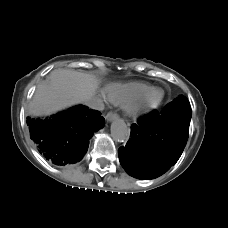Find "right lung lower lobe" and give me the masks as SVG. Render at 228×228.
I'll return each instance as SVG.
<instances>
[{"mask_svg": "<svg viewBox=\"0 0 228 228\" xmlns=\"http://www.w3.org/2000/svg\"><path fill=\"white\" fill-rule=\"evenodd\" d=\"M104 123L99 111L84 105L46 119H27L30 138L39 152L56 165L80 161L87 152L89 139Z\"/></svg>", "mask_w": 228, "mask_h": 228, "instance_id": "1", "label": "right lung lower lobe"}]
</instances>
